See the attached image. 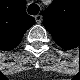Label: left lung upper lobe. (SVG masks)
Wrapping results in <instances>:
<instances>
[{"label": "left lung upper lobe", "instance_id": "left-lung-upper-lobe-1", "mask_svg": "<svg viewBox=\"0 0 80 80\" xmlns=\"http://www.w3.org/2000/svg\"><path fill=\"white\" fill-rule=\"evenodd\" d=\"M69 1L54 0L43 15L45 28L51 33L55 42L60 45L70 44L73 40V34L77 30L73 22Z\"/></svg>", "mask_w": 80, "mask_h": 80}]
</instances>
